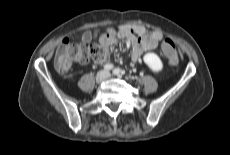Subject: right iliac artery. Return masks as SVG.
Wrapping results in <instances>:
<instances>
[{"label": "right iliac artery", "instance_id": "obj_1", "mask_svg": "<svg viewBox=\"0 0 230 155\" xmlns=\"http://www.w3.org/2000/svg\"><path fill=\"white\" fill-rule=\"evenodd\" d=\"M111 69H113V65L112 64H105L104 65V70H107V71H109V70H111Z\"/></svg>", "mask_w": 230, "mask_h": 155}]
</instances>
